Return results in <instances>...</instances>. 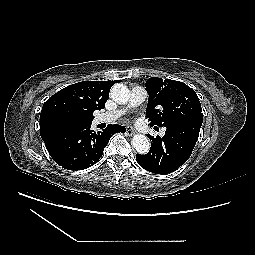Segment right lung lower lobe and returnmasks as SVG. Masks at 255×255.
<instances>
[{"instance_id": "right-lung-lower-lobe-1", "label": "right lung lower lobe", "mask_w": 255, "mask_h": 255, "mask_svg": "<svg viewBox=\"0 0 255 255\" xmlns=\"http://www.w3.org/2000/svg\"><path fill=\"white\" fill-rule=\"evenodd\" d=\"M117 132H125V127L110 124L96 133L91 123L78 124L54 128L42 139L57 164L67 170H83L99 160L110 137Z\"/></svg>"}]
</instances>
